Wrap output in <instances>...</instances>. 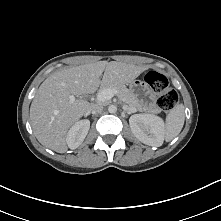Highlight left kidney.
I'll return each instance as SVG.
<instances>
[{
    "label": "left kidney",
    "mask_w": 221,
    "mask_h": 221,
    "mask_svg": "<svg viewBox=\"0 0 221 221\" xmlns=\"http://www.w3.org/2000/svg\"><path fill=\"white\" fill-rule=\"evenodd\" d=\"M134 136L142 143L159 147L164 141V122L153 114H134L129 118Z\"/></svg>",
    "instance_id": "5707ae66"
}]
</instances>
